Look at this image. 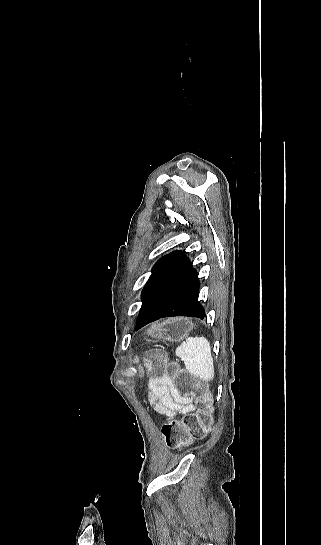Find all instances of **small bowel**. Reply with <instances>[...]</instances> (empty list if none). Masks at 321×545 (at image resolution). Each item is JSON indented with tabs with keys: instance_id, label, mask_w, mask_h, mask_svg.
Instances as JSON below:
<instances>
[{
	"instance_id": "c3829d8e",
	"label": "small bowel",
	"mask_w": 321,
	"mask_h": 545,
	"mask_svg": "<svg viewBox=\"0 0 321 545\" xmlns=\"http://www.w3.org/2000/svg\"><path fill=\"white\" fill-rule=\"evenodd\" d=\"M149 396L155 410L168 418L194 410L192 399L175 392L169 377L152 378L149 382Z\"/></svg>"
}]
</instances>
